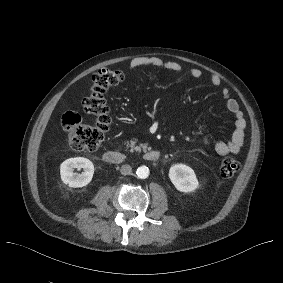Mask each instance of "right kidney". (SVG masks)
Segmentation results:
<instances>
[{
    "instance_id": "right-kidney-1",
    "label": "right kidney",
    "mask_w": 283,
    "mask_h": 283,
    "mask_svg": "<svg viewBox=\"0 0 283 283\" xmlns=\"http://www.w3.org/2000/svg\"><path fill=\"white\" fill-rule=\"evenodd\" d=\"M74 168L83 169L81 174L73 172ZM94 174L93 163L84 157H75L65 160L60 165V175L63 183L69 187L78 188L88 185Z\"/></svg>"
}]
</instances>
